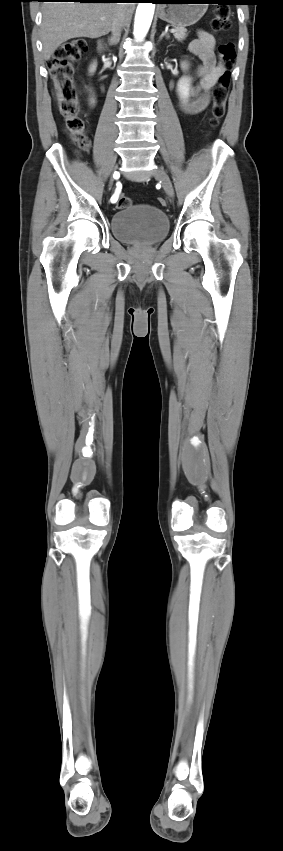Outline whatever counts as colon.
I'll list each match as a JSON object with an SVG mask.
<instances>
[{
    "label": "colon",
    "mask_w": 283,
    "mask_h": 851,
    "mask_svg": "<svg viewBox=\"0 0 283 851\" xmlns=\"http://www.w3.org/2000/svg\"><path fill=\"white\" fill-rule=\"evenodd\" d=\"M212 27L219 32H226L231 27V10L227 6H219L214 12ZM87 51V43L83 38H74L61 44L47 61L52 84L56 93L58 108L65 122V130L81 150H87L89 139L85 132V123L79 114L78 93L73 80L74 63L79 61ZM218 51L221 57L223 71L213 92L210 124L218 125L226 111V103L230 90L231 67L236 58L235 46L232 42L222 41ZM161 206L166 205L163 198L157 199ZM132 204L130 198L119 195L115 203L118 209Z\"/></svg>",
    "instance_id": "1"
}]
</instances>
